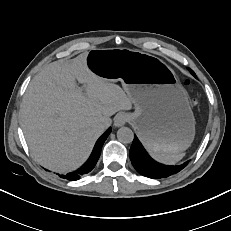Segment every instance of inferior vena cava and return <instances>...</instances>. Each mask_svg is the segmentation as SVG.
<instances>
[{
  "label": "inferior vena cava",
  "mask_w": 231,
  "mask_h": 231,
  "mask_svg": "<svg viewBox=\"0 0 231 231\" xmlns=\"http://www.w3.org/2000/svg\"><path fill=\"white\" fill-rule=\"evenodd\" d=\"M107 127H108L107 123H103V124H102V128H103V129H106Z\"/></svg>",
  "instance_id": "inferior-vena-cava-1"
}]
</instances>
